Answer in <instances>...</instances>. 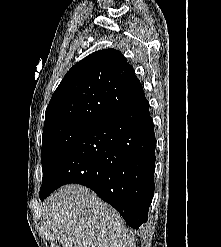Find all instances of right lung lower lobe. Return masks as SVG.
Segmentation results:
<instances>
[{"label":"right lung lower lobe","mask_w":221,"mask_h":247,"mask_svg":"<svg viewBox=\"0 0 221 247\" xmlns=\"http://www.w3.org/2000/svg\"><path fill=\"white\" fill-rule=\"evenodd\" d=\"M156 139L146 98L90 128L56 164L39 197L78 183L112 205L138 229L153 198Z\"/></svg>","instance_id":"1"}]
</instances>
